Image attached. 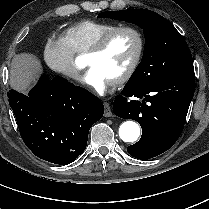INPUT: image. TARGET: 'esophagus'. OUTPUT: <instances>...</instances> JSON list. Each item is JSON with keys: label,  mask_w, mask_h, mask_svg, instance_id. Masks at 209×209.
I'll use <instances>...</instances> for the list:
<instances>
[{"label": "esophagus", "mask_w": 209, "mask_h": 209, "mask_svg": "<svg viewBox=\"0 0 209 209\" xmlns=\"http://www.w3.org/2000/svg\"><path fill=\"white\" fill-rule=\"evenodd\" d=\"M104 108H105L104 116L111 117L112 116L111 107L107 102H104Z\"/></svg>", "instance_id": "34e87169"}]
</instances>
